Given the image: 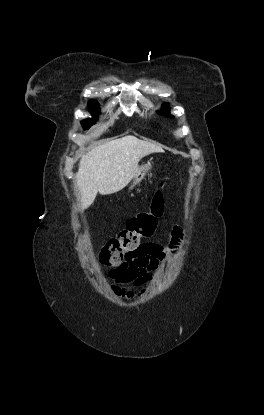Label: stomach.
Here are the masks:
<instances>
[{"label":"stomach","mask_w":264,"mask_h":415,"mask_svg":"<svg viewBox=\"0 0 264 415\" xmlns=\"http://www.w3.org/2000/svg\"><path fill=\"white\" fill-rule=\"evenodd\" d=\"M151 168L152 164L149 162L147 164L138 166V170L133 178V183L128 188V192H130L135 185L139 184L144 179V177L151 170Z\"/></svg>","instance_id":"stomach-1"}]
</instances>
